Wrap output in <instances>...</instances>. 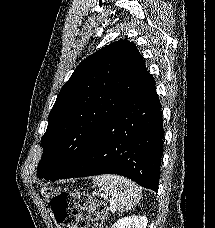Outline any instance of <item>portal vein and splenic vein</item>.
<instances>
[{
  "label": "portal vein and splenic vein",
  "instance_id": "obj_1",
  "mask_svg": "<svg viewBox=\"0 0 215 228\" xmlns=\"http://www.w3.org/2000/svg\"><path fill=\"white\" fill-rule=\"evenodd\" d=\"M111 212H115V210H113V208H110Z\"/></svg>",
  "mask_w": 215,
  "mask_h": 228
}]
</instances>
